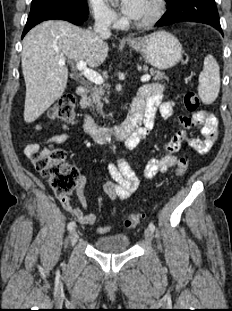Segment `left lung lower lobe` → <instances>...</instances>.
Segmentation results:
<instances>
[{
    "label": "left lung lower lobe",
    "instance_id": "1",
    "mask_svg": "<svg viewBox=\"0 0 232 311\" xmlns=\"http://www.w3.org/2000/svg\"><path fill=\"white\" fill-rule=\"evenodd\" d=\"M168 9L155 26L182 21L208 24L223 34L214 0H170Z\"/></svg>",
    "mask_w": 232,
    "mask_h": 311
}]
</instances>
